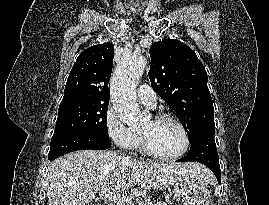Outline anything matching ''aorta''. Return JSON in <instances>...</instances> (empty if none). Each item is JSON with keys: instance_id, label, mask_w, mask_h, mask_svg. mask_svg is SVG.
<instances>
[{"instance_id": "762f6f07", "label": "aorta", "mask_w": 269, "mask_h": 205, "mask_svg": "<svg viewBox=\"0 0 269 205\" xmlns=\"http://www.w3.org/2000/svg\"><path fill=\"white\" fill-rule=\"evenodd\" d=\"M146 62L142 55L124 56L117 66L110 84L113 108L117 117L131 127L138 126L146 120L135 97V89L144 72Z\"/></svg>"}]
</instances>
